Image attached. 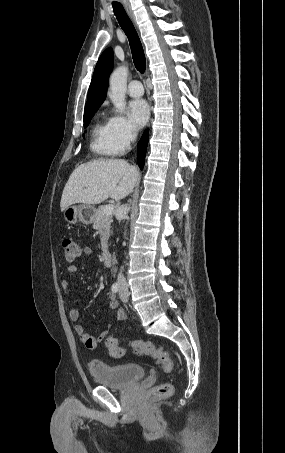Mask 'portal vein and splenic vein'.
Masks as SVG:
<instances>
[{
    "label": "portal vein and splenic vein",
    "instance_id": "portal-vein-and-splenic-vein-1",
    "mask_svg": "<svg viewBox=\"0 0 285 453\" xmlns=\"http://www.w3.org/2000/svg\"><path fill=\"white\" fill-rule=\"evenodd\" d=\"M113 210H114V206L112 204H108L104 207L103 212H104V214L108 215V214H112Z\"/></svg>",
    "mask_w": 285,
    "mask_h": 453
}]
</instances>
